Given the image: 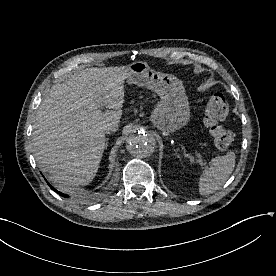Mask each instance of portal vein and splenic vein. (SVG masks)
<instances>
[{"instance_id":"18ae733b","label":"portal vein and splenic vein","mask_w":276,"mask_h":276,"mask_svg":"<svg viewBox=\"0 0 276 276\" xmlns=\"http://www.w3.org/2000/svg\"><path fill=\"white\" fill-rule=\"evenodd\" d=\"M190 158H191V160H193L194 159V157L193 156H189ZM199 163L201 164V165H206V163H204L203 161H202V159L201 158H199Z\"/></svg>"}]
</instances>
